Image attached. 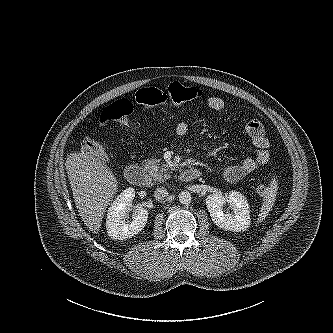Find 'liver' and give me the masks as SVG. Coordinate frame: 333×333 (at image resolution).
<instances>
[{"label":"liver","mask_w":333,"mask_h":333,"mask_svg":"<svg viewBox=\"0 0 333 333\" xmlns=\"http://www.w3.org/2000/svg\"><path fill=\"white\" fill-rule=\"evenodd\" d=\"M65 166L79 215L90 231L98 233L104 212L117 191L116 177L91 151L71 153Z\"/></svg>","instance_id":"liver-1"}]
</instances>
